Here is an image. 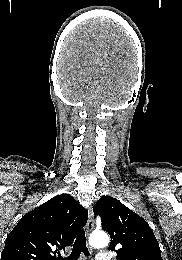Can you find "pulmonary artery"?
Here are the masks:
<instances>
[{"mask_svg":"<svg viewBox=\"0 0 182 260\" xmlns=\"http://www.w3.org/2000/svg\"><path fill=\"white\" fill-rule=\"evenodd\" d=\"M95 260H110V255L107 252H99Z\"/></svg>","mask_w":182,"mask_h":260,"instance_id":"e3ab8cb5","label":"pulmonary artery"}]
</instances>
